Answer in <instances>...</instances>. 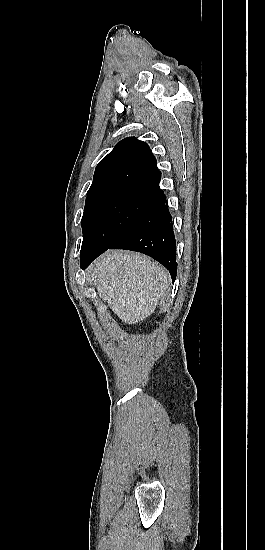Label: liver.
Masks as SVG:
<instances>
[{
  "mask_svg": "<svg viewBox=\"0 0 265 550\" xmlns=\"http://www.w3.org/2000/svg\"><path fill=\"white\" fill-rule=\"evenodd\" d=\"M89 280L114 314L132 325L154 313L169 287L170 276L145 255L107 251L90 266Z\"/></svg>",
  "mask_w": 265,
  "mask_h": 550,
  "instance_id": "obj_1",
  "label": "liver"
}]
</instances>
